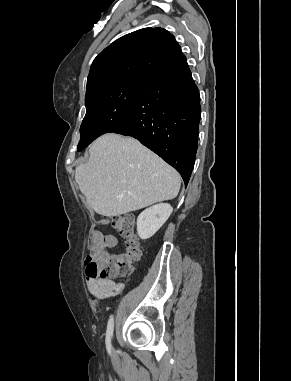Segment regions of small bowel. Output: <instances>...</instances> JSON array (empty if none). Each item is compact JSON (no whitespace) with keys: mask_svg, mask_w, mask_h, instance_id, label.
I'll use <instances>...</instances> for the list:
<instances>
[{"mask_svg":"<svg viewBox=\"0 0 291 381\" xmlns=\"http://www.w3.org/2000/svg\"><path fill=\"white\" fill-rule=\"evenodd\" d=\"M92 247L104 248L114 247L117 244V239L111 235H105L100 231L92 232ZM86 284L91 294L97 298L103 299L115 296L123 289V284L109 278H86Z\"/></svg>","mask_w":291,"mask_h":381,"instance_id":"c3829d8e","label":"small bowel"}]
</instances>
